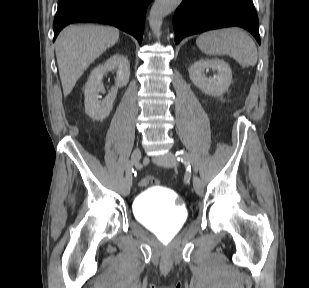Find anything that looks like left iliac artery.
Returning a JSON list of instances; mask_svg holds the SVG:
<instances>
[{"instance_id": "1", "label": "left iliac artery", "mask_w": 309, "mask_h": 288, "mask_svg": "<svg viewBox=\"0 0 309 288\" xmlns=\"http://www.w3.org/2000/svg\"><path fill=\"white\" fill-rule=\"evenodd\" d=\"M175 156H176V159H177L178 161H181V162L184 163V164H189V163H191V164H192V167H193V170H194L195 172L198 171V164H197L196 160H195L190 154H188L187 152H185L184 150H178V151H176Z\"/></svg>"}]
</instances>
